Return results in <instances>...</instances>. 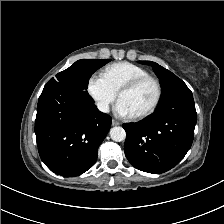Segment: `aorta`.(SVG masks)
<instances>
[{"instance_id":"obj_1","label":"aorta","mask_w":224,"mask_h":224,"mask_svg":"<svg viewBox=\"0 0 224 224\" xmlns=\"http://www.w3.org/2000/svg\"><path fill=\"white\" fill-rule=\"evenodd\" d=\"M110 137L113 141L121 142V141L125 140L126 132L122 127L116 126V127L111 128Z\"/></svg>"}]
</instances>
